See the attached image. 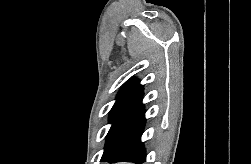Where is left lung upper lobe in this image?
Wrapping results in <instances>:
<instances>
[{"instance_id":"left-lung-upper-lobe-1","label":"left lung upper lobe","mask_w":251,"mask_h":164,"mask_svg":"<svg viewBox=\"0 0 251 164\" xmlns=\"http://www.w3.org/2000/svg\"><path fill=\"white\" fill-rule=\"evenodd\" d=\"M143 96V86L140 85V81L136 78H132L126 82V84L119 91L116 102L113 105L109 114V123L112 124L106 138V144L102 160H106L110 157L114 150L115 138L122 126L125 118L131 109Z\"/></svg>"}]
</instances>
